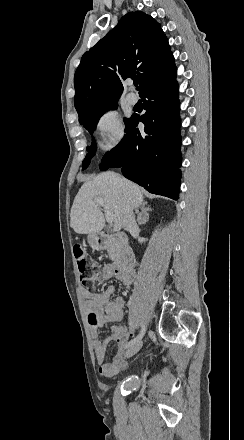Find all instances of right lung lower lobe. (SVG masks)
<instances>
[{
  "mask_svg": "<svg viewBox=\"0 0 244 440\" xmlns=\"http://www.w3.org/2000/svg\"><path fill=\"white\" fill-rule=\"evenodd\" d=\"M176 66L153 73L139 91L145 114L132 116L119 145L106 153L101 170L121 167L123 175L151 193L177 200L180 187L181 137ZM139 121L144 131L137 128Z\"/></svg>",
  "mask_w": 244,
  "mask_h": 440,
  "instance_id": "98d812e1",
  "label": "right lung lower lobe"
}]
</instances>
